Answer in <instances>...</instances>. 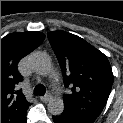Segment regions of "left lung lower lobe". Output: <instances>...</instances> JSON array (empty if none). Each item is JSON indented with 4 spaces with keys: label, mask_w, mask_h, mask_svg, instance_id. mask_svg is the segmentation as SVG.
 <instances>
[{
    "label": "left lung lower lobe",
    "mask_w": 123,
    "mask_h": 123,
    "mask_svg": "<svg viewBox=\"0 0 123 123\" xmlns=\"http://www.w3.org/2000/svg\"><path fill=\"white\" fill-rule=\"evenodd\" d=\"M53 121H54V123H84V122L68 115L65 112H62L58 116H53Z\"/></svg>",
    "instance_id": "0a47b994"
}]
</instances>
